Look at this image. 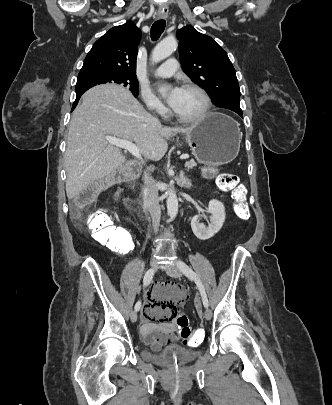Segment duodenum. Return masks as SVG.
<instances>
[{"label":"duodenum","mask_w":332,"mask_h":405,"mask_svg":"<svg viewBox=\"0 0 332 405\" xmlns=\"http://www.w3.org/2000/svg\"><path fill=\"white\" fill-rule=\"evenodd\" d=\"M135 172H136V167H135V166H133V167L127 169V170L124 171V172H121V173L118 175V181H119V182H128V181H131V180L133 179L134 175H135Z\"/></svg>","instance_id":"1"}]
</instances>
